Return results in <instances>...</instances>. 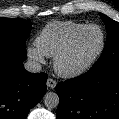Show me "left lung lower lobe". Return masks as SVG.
Segmentation results:
<instances>
[{
  "label": "left lung lower lobe",
  "mask_w": 119,
  "mask_h": 119,
  "mask_svg": "<svg viewBox=\"0 0 119 119\" xmlns=\"http://www.w3.org/2000/svg\"><path fill=\"white\" fill-rule=\"evenodd\" d=\"M57 119H119V62L57 85Z\"/></svg>",
  "instance_id": "1"
}]
</instances>
